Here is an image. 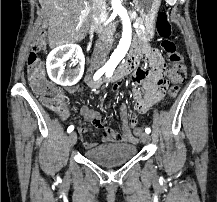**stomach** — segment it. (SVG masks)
Listing matches in <instances>:
<instances>
[{
    "mask_svg": "<svg viewBox=\"0 0 217 202\" xmlns=\"http://www.w3.org/2000/svg\"><path fill=\"white\" fill-rule=\"evenodd\" d=\"M134 4L145 26V34L151 40L155 34V22L161 0H134Z\"/></svg>",
    "mask_w": 217,
    "mask_h": 202,
    "instance_id": "1",
    "label": "stomach"
}]
</instances>
